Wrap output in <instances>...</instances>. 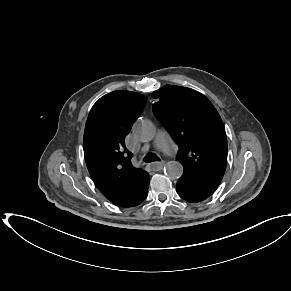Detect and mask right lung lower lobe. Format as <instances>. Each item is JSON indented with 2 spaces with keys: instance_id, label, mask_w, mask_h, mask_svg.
Returning <instances> with one entry per match:
<instances>
[{
  "instance_id": "98d812e1",
  "label": "right lung lower lobe",
  "mask_w": 291,
  "mask_h": 291,
  "mask_svg": "<svg viewBox=\"0 0 291 291\" xmlns=\"http://www.w3.org/2000/svg\"><path fill=\"white\" fill-rule=\"evenodd\" d=\"M147 192H148V190H147ZM147 192L144 193V195L142 196V199H140V200H138L136 202H132L130 204H126L125 203V204H116V205L119 206V207H132V206H137V205H139L146 198Z\"/></svg>"
}]
</instances>
